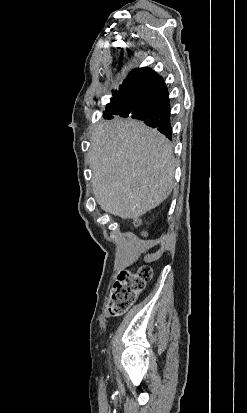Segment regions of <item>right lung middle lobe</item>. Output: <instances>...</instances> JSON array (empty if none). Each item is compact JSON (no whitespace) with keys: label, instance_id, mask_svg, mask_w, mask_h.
Segmentation results:
<instances>
[{"label":"right lung middle lobe","instance_id":"right-lung-middle-lobe-1","mask_svg":"<svg viewBox=\"0 0 247 413\" xmlns=\"http://www.w3.org/2000/svg\"><path fill=\"white\" fill-rule=\"evenodd\" d=\"M114 97L119 99H134L135 98V88L128 82H124L119 91L113 92Z\"/></svg>","mask_w":247,"mask_h":413}]
</instances>
